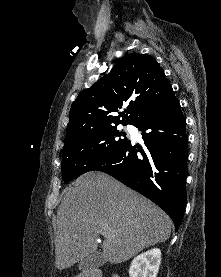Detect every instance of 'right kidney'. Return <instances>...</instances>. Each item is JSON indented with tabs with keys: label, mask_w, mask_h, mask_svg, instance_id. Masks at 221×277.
<instances>
[{
	"label": "right kidney",
	"mask_w": 221,
	"mask_h": 277,
	"mask_svg": "<svg viewBox=\"0 0 221 277\" xmlns=\"http://www.w3.org/2000/svg\"><path fill=\"white\" fill-rule=\"evenodd\" d=\"M161 263V250L153 248L136 256L130 265V277H156Z\"/></svg>",
	"instance_id": "ca27d5eb"
}]
</instances>
